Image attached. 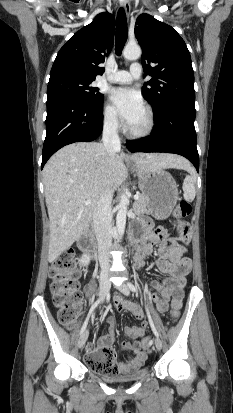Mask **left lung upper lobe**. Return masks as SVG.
Returning <instances> with one entry per match:
<instances>
[{"label": "left lung upper lobe", "mask_w": 233, "mask_h": 413, "mask_svg": "<svg viewBox=\"0 0 233 413\" xmlns=\"http://www.w3.org/2000/svg\"><path fill=\"white\" fill-rule=\"evenodd\" d=\"M135 36L143 50L145 76H152L143 91L154 111L173 105L195 109L194 73L184 40L146 13L136 20Z\"/></svg>", "instance_id": "left-lung-upper-lobe-1"}]
</instances>
